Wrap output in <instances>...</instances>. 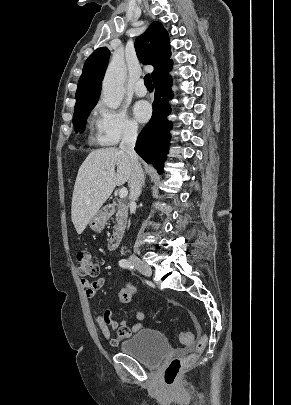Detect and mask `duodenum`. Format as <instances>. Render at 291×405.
I'll return each mask as SVG.
<instances>
[{
	"instance_id": "obj_1",
	"label": "duodenum",
	"mask_w": 291,
	"mask_h": 405,
	"mask_svg": "<svg viewBox=\"0 0 291 405\" xmlns=\"http://www.w3.org/2000/svg\"><path fill=\"white\" fill-rule=\"evenodd\" d=\"M107 212H110V208H107ZM124 231L122 228L118 229L116 232L112 234L108 241V249L115 250L119 247L122 238H123Z\"/></svg>"
}]
</instances>
